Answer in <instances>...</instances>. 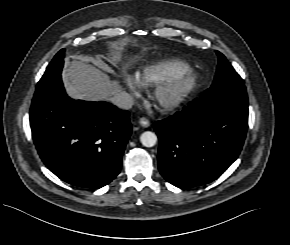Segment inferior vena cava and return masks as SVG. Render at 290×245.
I'll list each match as a JSON object with an SVG mask.
<instances>
[{
    "label": "inferior vena cava",
    "mask_w": 290,
    "mask_h": 245,
    "mask_svg": "<svg viewBox=\"0 0 290 245\" xmlns=\"http://www.w3.org/2000/svg\"><path fill=\"white\" fill-rule=\"evenodd\" d=\"M110 101L120 109L129 110L134 105V100L127 92H119L110 98Z\"/></svg>",
    "instance_id": "inferior-vena-cava-1"
}]
</instances>
